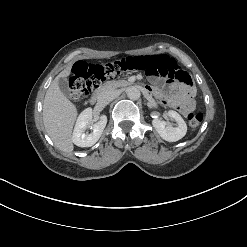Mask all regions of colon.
Instances as JSON below:
<instances>
[{"label":"colon","mask_w":247,"mask_h":247,"mask_svg":"<svg viewBox=\"0 0 247 247\" xmlns=\"http://www.w3.org/2000/svg\"><path fill=\"white\" fill-rule=\"evenodd\" d=\"M165 67L169 75L183 83L192 85L190 75L177 69V63L167 55L126 57L112 62L94 64L79 61L72 68L69 87L72 99L78 100L88 95L107 78L129 71H144L148 67ZM189 127L194 130L203 120L201 112L188 114Z\"/></svg>","instance_id":"obj_1"}]
</instances>
